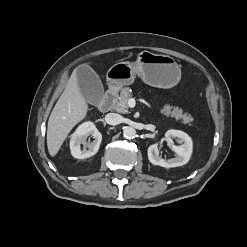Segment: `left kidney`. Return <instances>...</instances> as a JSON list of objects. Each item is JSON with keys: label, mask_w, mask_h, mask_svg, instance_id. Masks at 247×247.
Listing matches in <instances>:
<instances>
[{"label": "left kidney", "mask_w": 247, "mask_h": 247, "mask_svg": "<svg viewBox=\"0 0 247 247\" xmlns=\"http://www.w3.org/2000/svg\"><path fill=\"white\" fill-rule=\"evenodd\" d=\"M173 139L180 145H173ZM165 140L172 145V150L176 153L175 158L164 160L159 156L158 144H152L148 148V159L154 165L165 168H172L185 165L192 154L193 143L191 137L180 130H168L165 133Z\"/></svg>", "instance_id": "obj_1"}]
</instances>
